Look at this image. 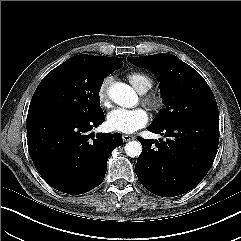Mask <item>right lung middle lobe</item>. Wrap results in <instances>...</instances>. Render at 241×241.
I'll return each mask as SVG.
<instances>
[{
  "label": "right lung middle lobe",
  "mask_w": 241,
  "mask_h": 241,
  "mask_svg": "<svg viewBox=\"0 0 241 241\" xmlns=\"http://www.w3.org/2000/svg\"><path fill=\"white\" fill-rule=\"evenodd\" d=\"M120 67L89 66L72 57L50 71L38 85L28 117L64 114L91 118L103 113L99 91L103 80Z\"/></svg>",
  "instance_id": "dd1d6c3e"
}]
</instances>
